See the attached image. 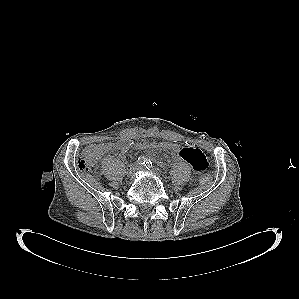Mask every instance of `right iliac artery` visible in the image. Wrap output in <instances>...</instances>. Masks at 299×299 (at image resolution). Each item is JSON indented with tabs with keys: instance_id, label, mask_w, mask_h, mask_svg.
Instances as JSON below:
<instances>
[{
	"instance_id": "82829eb1",
	"label": "right iliac artery",
	"mask_w": 299,
	"mask_h": 299,
	"mask_svg": "<svg viewBox=\"0 0 299 299\" xmlns=\"http://www.w3.org/2000/svg\"><path fill=\"white\" fill-rule=\"evenodd\" d=\"M146 158L144 156H141L137 159V164L138 165H145L146 164Z\"/></svg>"
}]
</instances>
